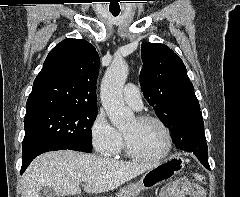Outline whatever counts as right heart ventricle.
<instances>
[{"mask_svg": "<svg viewBox=\"0 0 240 197\" xmlns=\"http://www.w3.org/2000/svg\"><path fill=\"white\" fill-rule=\"evenodd\" d=\"M112 156L117 159L128 157V155L126 154L125 149H124L123 140L121 141L119 147L117 148V150L114 152V154Z\"/></svg>", "mask_w": 240, "mask_h": 197, "instance_id": "1", "label": "right heart ventricle"}]
</instances>
